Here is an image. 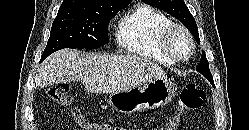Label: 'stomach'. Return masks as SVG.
<instances>
[{
  "mask_svg": "<svg viewBox=\"0 0 249 130\" xmlns=\"http://www.w3.org/2000/svg\"><path fill=\"white\" fill-rule=\"evenodd\" d=\"M176 85L167 78L150 81L142 86L112 93L108 103L116 111L131 114L168 104L176 94Z\"/></svg>",
  "mask_w": 249,
  "mask_h": 130,
  "instance_id": "stomach-1",
  "label": "stomach"
}]
</instances>
